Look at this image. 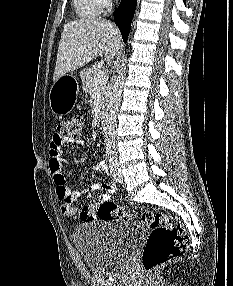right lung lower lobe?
<instances>
[{"mask_svg":"<svg viewBox=\"0 0 233 286\" xmlns=\"http://www.w3.org/2000/svg\"><path fill=\"white\" fill-rule=\"evenodd\" d=\"M137 0H122L114 12V21L121 31L124 42H127L131 28V21L134 15Z\"/></svg>","mask_w":233,"mask_h":286,"instance_id":"98d812e1","label":"right lung lower lobe"}]
</instances>
